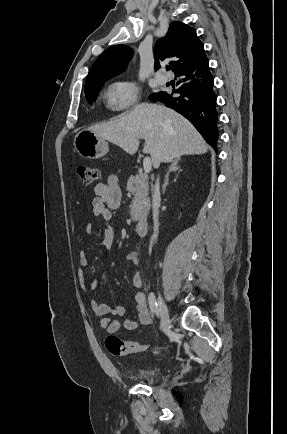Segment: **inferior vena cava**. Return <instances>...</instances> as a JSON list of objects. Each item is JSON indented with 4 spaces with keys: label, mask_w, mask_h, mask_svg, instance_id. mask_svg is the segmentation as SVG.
<instances>
[{
    "label": "inferior vena cava",
    "mask_w": 287,
    "mask_h": 434,
    "mask_svg": "<svg viewBox=\"0 0 287 434\" xmlns=\"http://www.w3.org/2000/svg\"><path fill=\"white\" fill-rule=\"evenodd\" d=\"M152 198H153L152 211H153V221H154V233L152 235V240L156 241L159 233L158 214H159V206L161 201L159 178H157L155 182Z\"/></svg>",
    "instance_id": "inferior-vena-cava-1"
}]
</instances>
